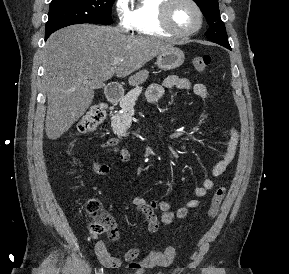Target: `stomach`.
<instances>
[{
    "mask_svg": "<svg viewBox=\"0 0 289 274\" xmlns=\"http://www.w3.org/2000/svg\"><path fill=\"white\" fill-rule=\"evenodd\" d=\"M185 55L178 48H172L157 57V65L162 70H170L181 66L184 62Z\"/></svg>",
    "mask_w": 289,
    "mask_h": 274,
    "instance_id": "0dacf381",
    "label": "stomach"
}]
</instances>
